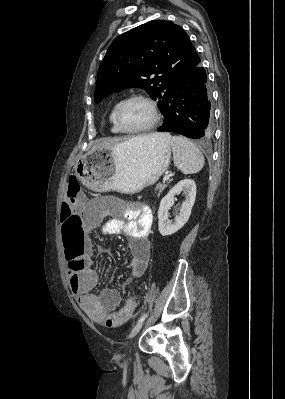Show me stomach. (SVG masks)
Masks as SVG:
<instances>
[{"mask_svg":"<svg viewBox=\"0 0 285 399\" xmlns=\"http://www.w3.org/2000/svg\"><path fill=\"white\" fill-rule=\"evenodd\" d=\"M171 137L138 138L113 149L91 150L73 166L75 175L96 192L118 191L133 194L154 184L167 170Z\"/></svg>","mask_w":285,"mask_h":399,"instance_id":"0dacf381","label":"stomach"}]
</instances>
